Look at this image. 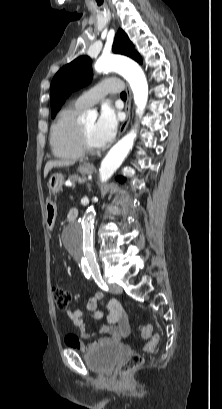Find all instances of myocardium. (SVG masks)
Returning a JSON list of instances; mask_svg holds the SVG:
<instances>
[{
  "mask_svg": "<svg viewBox=\"0 0 222 409\" xmlns=\"http://www.w3.org/2000/svg\"><path fill=\"white\" fill-rule=\"evenodd\" d=\"M78 145L81 151L86 154H97L100 151L99 148H94L89 144L84 126L81 123L78 130Z\"/></svg>",
  "mask_w": 222,
  "mask_h": 409,
  "instance_id": "obj_1",
  "label": "myocardium"
}]
</instances>
